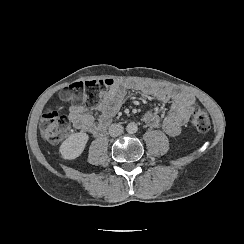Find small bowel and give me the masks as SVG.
<instances>
[{"label":"small bowel","instance_id":"small-bowel-1","mask_svg":"<svg viewBox=\"0 0 244 244\" xmlns=\"http://www.w3.org/2000/svg\"><path fill=\"white\" fill-rule=\"evenodd\" d=\"M102 91L100 92L101 99L93 109L101 113L98 119H95L92 110L82 103H76L69 109L73 126L92 136L105 132L124 98L130 92L152 96L161 103L170 102L163 120L156 112L148 111L144 114L143 121L153 128L161 126L164 132L171 137L180 135L182 127L188 122L196 103L195 96L187 90L143 80H115L106 92L102 93Z\"/></svg>","mask_w":244,"mask_h":244}]
</instances>
